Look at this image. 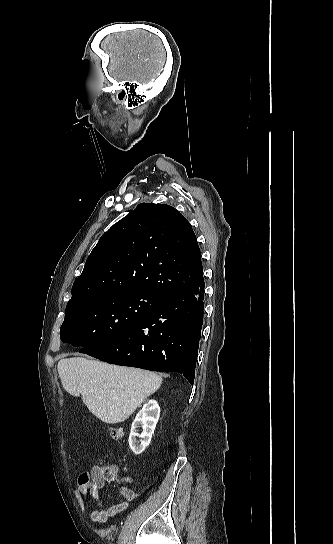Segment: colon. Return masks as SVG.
I'll use <instances>...</instances> for the list:
<instances>
[{
  "instance_id": "obj_1",
  "label": "colon",
  "mask_w": 333,
  "mask_h": 544,
  "mask_svg": "<svg viewBox=\"0 0 333 544\" xmlns=\"http://www.w3.org/2000/svg\"><path fill=\"white\" fill-rule=\"evenodd\" d=\"M109 434L113 439H120L123 436V430L116 426H109L108 427ZM115 477V470L114 467H100V471L98 474V480H101L103 482L105 481H112ZM95 476H93L90 473H84L81 476V483H93L96 479Z\"/></svg>"
}]
</instances>
